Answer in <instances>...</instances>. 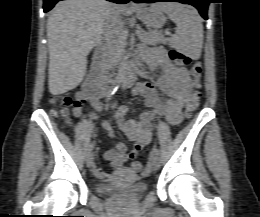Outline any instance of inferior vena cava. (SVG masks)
<instances>
[{
	"instance_id": "1",
	"label": "inferior vena cava",
	"mask_w": 260,
	"mask_h": 217,
	"mask_svg": "<svg viewBox=\"0 0 260 217\" xmlns=\"http://www.w3.org/2000/svg\"><path fill=\"white\" fill-rule=\"evenodd\" d=\"M123 30V22L120 18V13L117 9L113 8L104 26V39L113 46L117 41L119 33Z\"/></svg>"
}]
</instances>
